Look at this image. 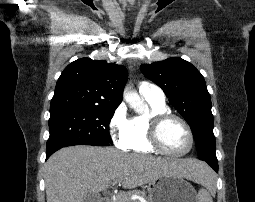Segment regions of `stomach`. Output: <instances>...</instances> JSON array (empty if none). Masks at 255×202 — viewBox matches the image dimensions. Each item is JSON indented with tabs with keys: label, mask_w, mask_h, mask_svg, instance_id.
I'll use <instances>...</instances> for the list:
<instances>
[{
	"label": "stomach",
	"mask_w": 255,
	"mask_h": 202,
	"mask_svg": "<svg viewBox=\"0 0 255 202\" xmlns=\"http://www.w3.org/2000/svg\"><path fill=\"white\" fill-rule=\"evenodd\" d=\"M149 202H198L192 185L174 174L160 176L153 180V186H147Z\"/></svg>",
	"instance_id": "stomach-1"
}]
</instances>
